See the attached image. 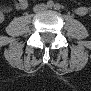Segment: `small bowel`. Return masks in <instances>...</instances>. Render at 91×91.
<instances>
[{
  "label": "small bowel",
  "mask_w": 91,
  "mask_h": 91,
  "mask_svg": "<svg viewBox=\"0 0 91 91\" xmlns=\"http://www.w3.org/2000/svg\"><path fill=\"white\" fill-rule=\"evenodd\" d=\"M27 6H28V3H27L26 0H16V1H15V4H14V7H15L17 10H24V9L27 8ZM76 12H77L78 14L82 15V14H85L86 9H85V7H78V8L76 9Z\"/></svg>",
  "instance_id": "c3829d8e"
}]
</instances>
